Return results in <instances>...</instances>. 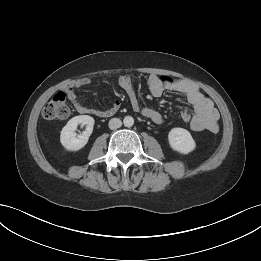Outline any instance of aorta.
<instances>
[{
  "instance_id": "obj_1",
  "label": "aorta",
  "mask_w": 261,
  "mask_h": 261,
  "mask_svg": "<svg viewBox=\"0 0 261 261\" xmlns=\"http://www.w3.org/2000/svg\"><path fill=\"white\" fill-rule=\"evenodd\" d=\"M124 126L131 127L134 124V119L131 116H125L123 119Z\"/></svg>"
}]
</instances>
